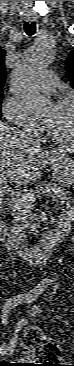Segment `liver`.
<instances>
[{
  "label": "liver",
  "instance_id": "liver-1",
  "mask_svg": "<svg viewBox=\"0 0 74 366\" xmlns=\"http://www.w3.org/2000/svg\"><path fill=\"white\" fill-rule=\"evenodd\" d=\"M64 154L44 150L34 137L24 131L0 123V179L15 186L33 184L42 171Z\"/></svg>",
  "mask_w": 74,
  "mask_h": 366
}]
</instances>
